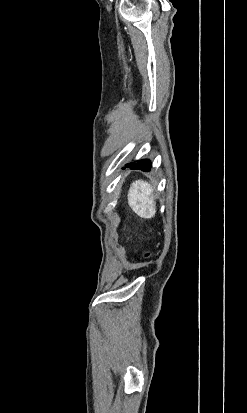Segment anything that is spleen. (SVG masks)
Instances as JSON below:
<instances>
[{"label": "spleen", "mask_w": 247, "mask_h": 413, "mask_svg": "<svg viewBox=\"0 0 247 413\" xmlns=\"http://www.w3.org/2000/svg\"><path fill=\"white\" fill-rule=\"evenodd\" d=\"M152 192V186L145 180H134L131 182L128 190V204L139 217H145L150 211L153 200H150L149 194Z\"/></svg>", "instance_id": "obj_1"}]
</instances>
